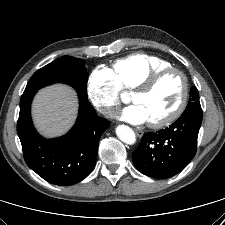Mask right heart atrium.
Listing matches in <instances>:
<instances>
[{
	"mask_svg": "<svg viewBox=\"0 0 225 225\" xmlns=\"http://www.w3.org/2000/svg\"><path fill=\"white\" fill-rule=\"evenodd\" d=\"M87 90L91 102L99 111L108 117L114 116L122 88L111 70L95 69L89 76Z\"/></svg>",
	"mask_w": 225,
	"mask_h": 225,
	"instance_id": "1",
	"label": "right heart atrium"
}]
</instances>
